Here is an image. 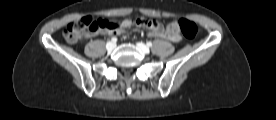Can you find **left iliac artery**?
Returning a JSON list of instances; mask_svg holds the SVG:
<instances>
[{
    "label": "left iliac artery",
    "instance_id": "1",
    "mask_svg": "<svg viewBox=\"0 0 276 120\" xmlns=\"http://www.w3.org/2000/svg\"><path fill=\"white\" fill-rule=\"evenodd\" d=\"M147 46H148V47H151V46H152V42H150V41L147 42Z\"/></svg>",
    "mask_w": 276,
    "mask_h": 120
}]
</instances>
